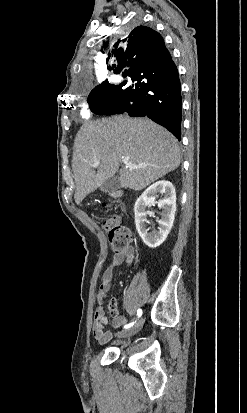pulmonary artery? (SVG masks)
Wrapping results in <instances>:
<instances>
[{
  "label": "pulmonary artery",
  "instance_id": "obj_1",
  "mask_svg": "<svg viewBox=\"0 0 247 413\" xmlns=\"http://www.w3.org/2000/svg\"><path fill=\"white\" fill-rule=\"evenodd\" d=\"M123 81L122 77H114L111 79V82L114 84H120Z\"/></svg>",
  "mask_w": 247,
  "mask_h": 413
}]
</instances>
